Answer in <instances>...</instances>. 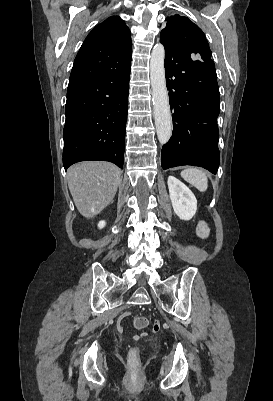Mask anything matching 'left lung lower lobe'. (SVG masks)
I'll list each match as a JSON object with an SVG mask.
<instances>
[{
  "label": "left lung lower lobe",
  "instance_id": "obj_1",
  "mask_svg": "<svg viewBox=\"0 0 273 401\" xmlns=\"http://www.w3.org/2000/svg\"><path fill=\"white\" fill-rule=\"evenodd\" d=\"M165 73L174 130L161 151L162 168L194 165L216 174L220 101L213 60L165 51Z\"/></svg>",
  "mask_w": 273,
  "mask_h": 401
}]
</instances>
